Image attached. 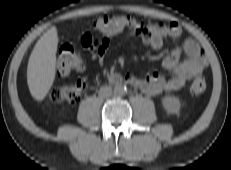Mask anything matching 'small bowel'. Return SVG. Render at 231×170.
<instances>
[{
	"instance_id": "1",
	"label": "small bowel",
	"mask_w": 231,
	"mask_h": 170,
	"mask_svg": "<svg viewBox=\"0 0 231 170\" xmlns=\"http://www.w3.org/2000/svg\"><path fill=\"white\" fill-rule=\"evenodd\" d=\"M137 35L145 44L160 49L165 39L178 40L182 35V29L175 22L169 25L154 23L144 26L143 31ZM110 40L111 35L86 33L81 38V44L88 50H96L101 61ZM206 65V58L199 45L192 39H186L181 47L174 49L163 59L162 66L169 73L168 77L151 71L142 77L128 75L126 82L138 86L148 95H158L180 89L187 80L201 74Z\"/></svg>"
}]
</instances>
